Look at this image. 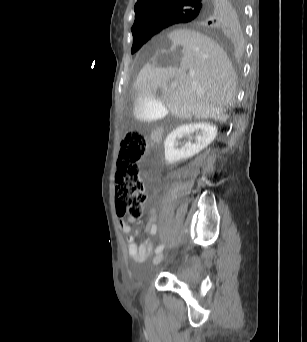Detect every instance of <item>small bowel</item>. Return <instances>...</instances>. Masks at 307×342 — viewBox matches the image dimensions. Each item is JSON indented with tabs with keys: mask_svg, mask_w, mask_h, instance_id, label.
Returning <instances> with one entry per match:
<instances>
[{
	"mask_svg": "<svg viewBox=\"0 0 307 342\" xmlns=\"http://www.w3.org/2000/svg\"><path fill=\"white\" fill-rule=\"evenodd\" d=\"M157 213L154 208L149 210V223L145 229V233L148 235L149 238H152L157 233ZM131 222L134 220L130 219ZM122 230L127 235L126 242H127V251L129 256L133 259L136 263H142L145 261L153 250V243L151 239L144 241L142 244L137 245V236L138 232L131 233L130 226L125 223L124 221L121 222Z\"/></svg>",
	"mask_w": 307,
	"mask_h": 342,
	"instance_id": "1",
	"label": "small bowel"
}]
</instances>
